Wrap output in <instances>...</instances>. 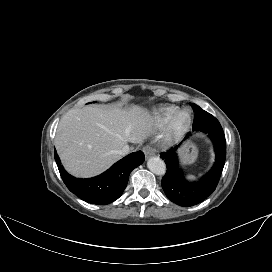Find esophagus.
Wrapping results in <instances>:
<instances>
[{
	"label": "esophagus",
	"instance_id": "obj_1",
	"mask_svg": "<svg viewBox=\"0 0 272 272\" xmlns=\"http://www.w3.org/2000/svg\"><path fill=\"white\" fill-rule=\"evenodd\" d=\"M143 152L146 156V158L152 157L155 155V150L151 146H145L143 148Z\"/></svg>",
	"mask_w": 272,
	"mask_h": 272
}]
</instances>
